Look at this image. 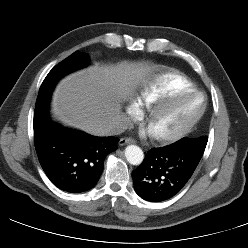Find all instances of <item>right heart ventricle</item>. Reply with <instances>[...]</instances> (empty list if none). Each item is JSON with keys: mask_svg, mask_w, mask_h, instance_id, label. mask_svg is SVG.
I'll list each match as a JSON object with an SVG mask.
<instances>
[{"mask_svg": "<svg viewBox=\"0 0 248 248\" xmlns=\"http://www.w3.org/2000/svg\"><path fill=\"white\" fill-rule=\"evenodd\" d=\"M194 89L191 80L176 70H168L148 83L140 92L139 101L150 106L170 94Z\"/></svg>", "mask_w": 248, "mask_h": 248, "instance_id": "right-heart-ventricle-1", "label": "right heart ventricle"}]
</instances>
